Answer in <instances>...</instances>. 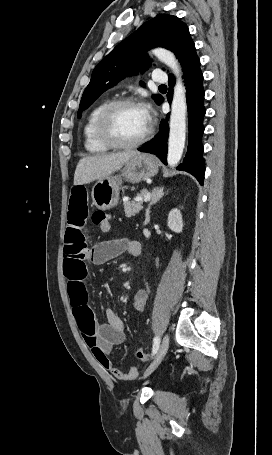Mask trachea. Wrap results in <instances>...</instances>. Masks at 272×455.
Returning <instances> with one entry per match:
<instances>
[{
  "instance_id": "3493384b",
  "label": "trachea",
  "mask_w": 272,
  "mask_h": 455,
  "mask_svg": "<svg viewBox=\"0 0 272 455\" xmlns=\"http://www.w3.org/2000/svg\"><path fill=\"white\" fill-rule=\"evenodd\" d=\"M159 87H160V88H165V87H166V85H160Z\"/></svg>"
}]
</instances>
